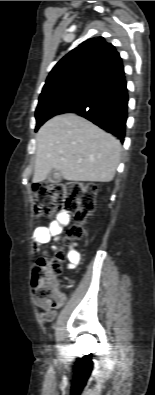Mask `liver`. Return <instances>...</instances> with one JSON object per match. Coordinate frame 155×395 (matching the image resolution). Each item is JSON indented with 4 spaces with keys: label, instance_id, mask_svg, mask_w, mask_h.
<instances>
[{
    "label": "liver",
    "instance_id": "liver-1",
    "mask_svg": "<svg viewBox=\"0 0 155 395\" xmlns=\"http://www.w3.org/2000/svg\"><path fill=\"white\" fill-rule=\"evenodd\" d=\"M33 182L55 169L68 181L110 182L121 156V143L76 114L55 116L36 134Z\"/></svg>",
    "mask_w": 155,
    "mask_h": 395
}]
</instances>
